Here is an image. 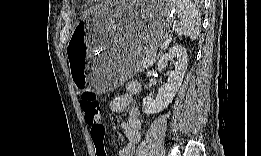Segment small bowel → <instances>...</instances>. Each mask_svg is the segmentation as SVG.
Here are the masks:
<instances>
[{
  "label": "small bowel",
  "instance_id": "small-bowel-1",
  "mask_svg": "<svg viewBox=\"0 0 261 156\" xmlns=\"http://www.w3.org/2000/svg\"><path fill=\"white\" fill-rule=\"evenodd\" d=\"M141 92V86L137 82H129L126 86V92L120 96L113 98L109 103V109L112 112H122L128 109V116L125 122L122 124V132L127 139L125 146L116 151L118 156H133L135 153V147L141 139V121L139 119V108L134 105L133 98ZM107 146L113 147V143L110 140H104ZM97 153V151H96ZM97 156H106L104 155Z\"/></svg>",
  "mask_w": 261,
  "mask_h": 156
}]
</instances>
